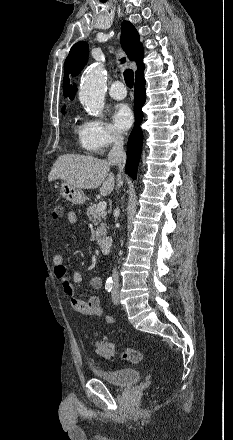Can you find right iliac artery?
<instances>
[{"mask_svg":"<svg viewBox=\"0 0 233 440\" xmlns=\"http://www.w3.org/2000/svg\"><path fill=\"white\" fill-rule=\"evenodd\" d=\"M113 288V281L111 279H108L105 283V289L106 291L110 292Z\"/></svg>","mask_w":233,"mask_h":440,"instance_id":"82829eb1","label":"right iliac artery"}]
</instances>
